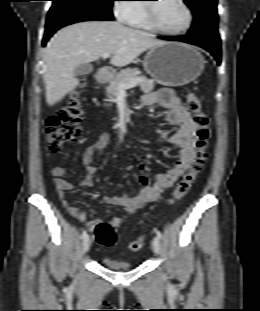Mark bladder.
<instances>
[{"label": "bladder", "mask_w": 260, "mask_h": 311, "mask_svg": "<svg viewBox=\"0 0 260 311\" xmlns=\"http://www.w3.org/2000/svg\"><path fill=\"white\" fill-rule=\"evenodd\" d=\"M99 260L102 265L112 270H129L134 267L133 264L129 262L119 260L117 257L105 253L99 256Z\"/></svg>", "instance_id": "31cf9c89"}]
</instances>
